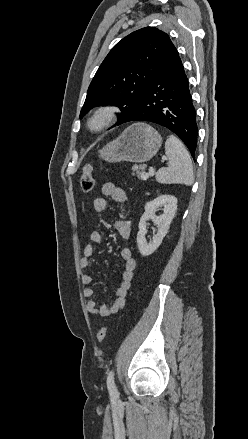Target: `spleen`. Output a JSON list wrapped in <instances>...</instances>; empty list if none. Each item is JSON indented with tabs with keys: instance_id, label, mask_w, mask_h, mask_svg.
Returning a JSON list of instances; mask_svg holds the SVG:
<instances>
[{
	"instance_id": "3e777b00",
	"label": "spleen",
	"mask_w": 248,
	"mask_h": 439,
	"mask_svg": "<svg viewBox=\"0 0 248 439\" xmlns=\"http://www.w3.org/2000/svg\"><path fill=\"white\" fill-rule=\"evenodd\" d=\"M165 154L169 165L158 170L156 180L162 184L192 185L194 176L190 155L184 144L174 135H170L165 142Z\"/></svg>"
}]
</instances>
